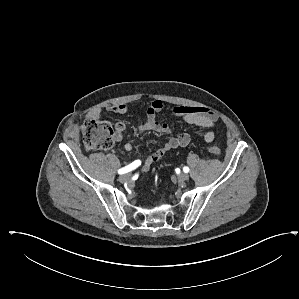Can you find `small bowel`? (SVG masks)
Here are the masks:
<instances>
[{
    "label": "small bowel",
    "mask_w": 299,
    "mask_h": 299,
    "mask_svg": "<svg viewBox=\"0 0 299 299\" xmlns=\"http://www.w3.org/2000/svg\"><path fill=\"white\" fill-rule=\"evenodd\" d=\"M163 104L161 101L151 102L146 110V120L143 124L137 127V131L142 133L146 131H154L160 134H168L171 129L167 123L160 122L157 119V114L162 110ZM106 111L113 114H128L129 108L126 104H115L106 107ZM103 111L101 109L95 108L88 113V118H99ZM172 113L183 119L184 122L200 127L209 129L204 135V140L207 143H211L215 138V133L213 131L218 116L217 114L206 107L199 106H176L172 109ZM126 130V124L124 122H117L115 124V140L121 141L123 138V133ZM190 142V136L188 133H180L177 136L170 137L162 147L155 151L152 155L147 157L144 162L143 171H147L150 166L161 159L168 151L174 150L180 147H185ZM124 150L130 152L133 150V145L131 143H125Z\"/></svg>",
    "instance_id": "small-bowel-1"
}]
</instances>
